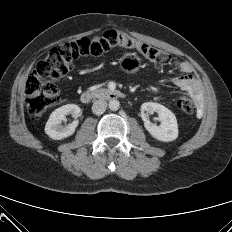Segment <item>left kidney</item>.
I'll return each instance as SVG.
<instances>
[{"instance_id": "left-kidney-1", "label": "left kidney", "mask_w": 232, "mask_h": 232, "mask_svg": "<svg viewBox=\"0 0 232 232\" xmlns=\"http://www.w3.org/2000/svg\"><path fill=\"white\" fill-rule=\"evenodd\" d=\"M156 112L159 117L160 125L149 121L148 117L150 113ZM141 117L144 121L146 130L159 141L170 142L174 141L178 137V124L175 115L165 106L146 102L141 106Z\"/></svg>"}]
</instances>
